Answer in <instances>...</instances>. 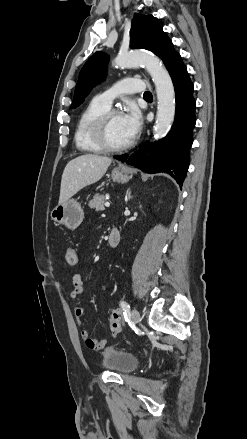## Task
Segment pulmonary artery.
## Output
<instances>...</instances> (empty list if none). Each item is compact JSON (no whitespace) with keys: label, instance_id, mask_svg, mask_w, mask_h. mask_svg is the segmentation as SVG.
<instances>
[{"label":"pulmonary artery","instance_id":"obj_1","mask_svg":"<svg viewBox=\"0 0 247 439\" xmlns=\"http://www.w3.org/2000/svg\"><path fill=\"white\" fill-rule=\"evenodd\" d=\"M144 90L145 83L141 79L128 77L120 80L110 89L97 95L95 99L107 107H111L116 97L122 94L140 93Z\"/></svg>","mask_w":247,"mask_h":439}]
</instances>
